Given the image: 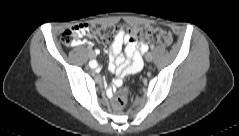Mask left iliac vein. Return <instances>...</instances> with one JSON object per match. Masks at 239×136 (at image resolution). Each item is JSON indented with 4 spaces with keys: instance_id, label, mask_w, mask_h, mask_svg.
<instances>
[{
    "instance_id": "1",
    "label": "left iliac vein",
    "mask_w": 239,
    "mask_h": 136,
    "mask_svg": "<svg viewBox=\"0 0 239 136\" xmlns=\"http://www.w3.org/2000/svg\"><path fill=\"white\" fill-rule=\"evenodd\" d=\"M145 59H146V61L147 62H151L152 60H153V55H152V53H147L146 55H145Z\"/></svg>"
}]
</instances>
